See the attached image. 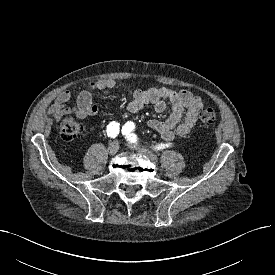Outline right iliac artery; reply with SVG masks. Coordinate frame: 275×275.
Listing matches in <instances>:
<instances>
[{
    "label": "right iliac artery",
    "instance_id": "82829eb1",
    "mask_svg": "<svg viewBox=\"0 0 275 275\" xmlns=\"http://www.w3.org/2000/svg\"><path fill=\"white\" fill-rule=\"evenodd\" d=\"M119 123L118 122H110L109 125L107 126V135L110 138H116L117 135L119 134L120 131V127H119Z\"/></svg>",
    "mask_w": 275,
    "mask_h": 275
}]
</instances>
